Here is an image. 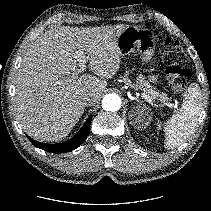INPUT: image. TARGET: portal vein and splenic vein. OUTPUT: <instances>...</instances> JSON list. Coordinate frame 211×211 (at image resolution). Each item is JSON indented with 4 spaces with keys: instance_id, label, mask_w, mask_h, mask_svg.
Instances as JSON below:
<instances>
[{
    "instance_id": "18ae733b",
    "label": "portal vein and splenic vein",
    "mask_w": 211,
    "mask_h": 211,
    "mask_svg": "<svg viewBox=\"0 0 211 211\" xmlns=\"http://www.w3.org/2000/svg\"><path fill=\"white\" fill-rule=\"evenodd\" d=\"M75 57L77 58L78 66H79V69H78L75 73L78 74V73H81L82 71H84L85 68H86V57H85L84 54H83L82 52H80V51H77V52H76V56H75ZM75 73H74V74H75ZM140 96H141L143 99H145V100H147V101H149V102L152 101V97L149 96V95H147V94H145V93H140ZM167 106H169V107H171V108H176V106H175L174 104H171V103H168Z\"/></svg>"
}]
</instances>
